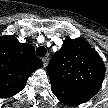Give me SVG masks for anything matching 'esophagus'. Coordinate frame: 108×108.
Segmentation results:
<instances>
[{
    "instance_id": "34e87169",
    "label": "esophagus",
    "mask_w": 108,
    "mask_h": 108,
    "mask_svg": "<svg viewBox=\"0 0 108 108\" xmlns=\"http://www.w3.org/2000/svg\"><path fill=\"white\" fill-rule=\"evenodd\" d=\"M42 62L44 64V67H46L48 64V59L46 57H44V58H42Z\"/></svg>"
}]
</instances>
